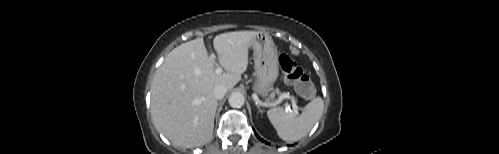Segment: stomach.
<instances>
[{
    "label": "stomach",
    "instance_id": "obj_1",
    "mask_svg": "<svg viewBox=\"0 0 499 154\" xmlns=\"http://www.w3.org/2000/svg\"><path fill=\"white\" fill-rule=\"evenodd\" d=\"M251 46L254 50L256 77L253 90L266 97L279 76L278 53L272 37L266 32H259L254 36Z\"/></svg>",
    "mask_w": 499,
    "mask_h": 154
}]
</instances>
